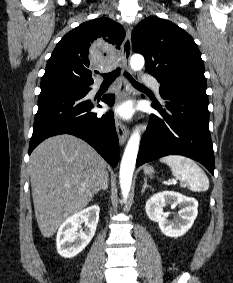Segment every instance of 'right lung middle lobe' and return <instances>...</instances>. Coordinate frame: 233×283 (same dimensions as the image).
Returning <instances> with one entry per match:
<instances>
[{"label": "right lung middle lobe", "instance_id": "obj_1", "mask_svg": "<svg viewBox=\"0 0 233 283\" xmlns=\"http://www.w3.org/2000/svg\"><path fill=\"white\" fill-rule=\"evenodd\" d=\"M41 91L48 90V89H65L70 91H78L83 92L88 87L81 86L72 82L63 81V80H51V81H45L41 82L40 84Z\"/></svg>", "mask_w": 233, "mask_h": 283}]
</instances>
